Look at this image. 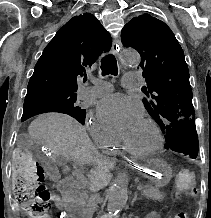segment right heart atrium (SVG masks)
<instances>
[{
  "label": "right heart atrium",
  "mask_w": 211,
  "mask_h": 218,
  "mask_svg": "<svg viewBox=\"0 0 211 218\" xmlns=\"http://www.w3.org/2000/svg\"><path fill=\"white\" fill-rule=\"evenodd\" d=\"M88 129L94 142L99 147H105L114 141L109 132L92 118L88 120Z\"/></svg>",
  "instance_id": "1"
}]
</instances>
